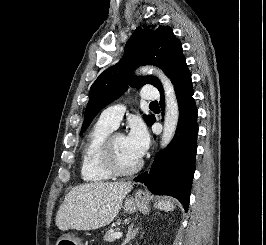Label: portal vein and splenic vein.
Instances as JSON below:
<instances>
[{"label":"portal vein and splenic vein","mask_w":266,"mask_h":245,"mask_svg":"<svg viewBox=\"0 0 266 245\" xmlns=\"http://www.w3.org/2000/svg\"><path fill=\"white\" fill-rule=\"evenodd\" d=\"M122 237V233H115V239H120Z\"/></svg>","instance_id":"1"}]
</instances>
